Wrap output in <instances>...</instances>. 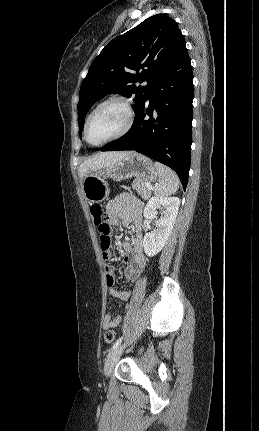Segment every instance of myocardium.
I'll use <instances>...</instances> for the list:
<instances>
[{
	"mask_svg": "<svg viewBox=\"0 0 259 431\" xmlns=\"http://www.w3.org/2000/svg\"><path fill=\"white\" fill-rule=\"evenodd\" d=\"M112 102H117L119 104L122 105V107L124 108L125 112H126V122L125 125L123 126V128L116 133L115 135H113L112 137L100 142V143H92L89 138H88V126L90 123L91 118L93 117V115L103 106L112 103ZM135 121V113H134V109H133V105L132 102L130 100V98H128L127 96L124 95H111L109 97H107L106 99L102 100L100 103H98L94 109L89 113V115L86 118L85 121V125H84V129H83V136L85 141L91 145V146H102L105 145L109 142H112L114 140H117L123 136H125L133 127Z\"/></svg>",
	"mask_w": 259,
	"mask_h": 431,
	"instance_id": "myocardium-1",
	"label": "myocardium"
}]
</instances>
